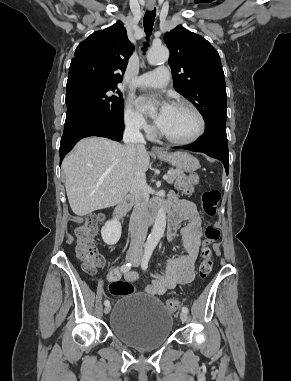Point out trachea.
<instances>
[{
  "label": "trachea",
  "mask_w": 291,
  "mask_h": 381,
  "mask_svg": "<svg viewBox=\"0 0 291 381\" xmlns=\"http://www.w3.org/2000/svg\"><path fill=\"white\" fill-rule=\"evenodd\" d=\"M155 16H156V9H153L152 11H146L144 15V28H145V33L147 35L146 39L148 40L149 36L151 35L152 32V27L155 21ZM145 50V49H144Z\"/></svg>",
  "instance_id": "obj_1"
}]
</instances>
